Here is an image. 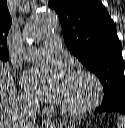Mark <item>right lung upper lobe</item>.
I'll return each instance as SVG.
<instances>
[{"label": "right lung upper lobe", "instance_id": "obj_1", "mask_svg": "<svg viewBox=\"0 0 125 128\" xmlns=\"http://www.w3.org/2000/svg\"><path fill=\"white\" fill-rule=\"evenodd\" d=\"M12 20L6 0H0V59L8 60L6 38L11 27Z\"/></svg>", "mask_w": 125, "mask_h": 128}]
</instances>
